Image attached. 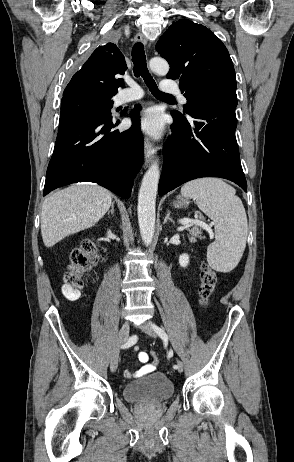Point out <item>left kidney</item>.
Masks as SVG:
<instances>
[{"label": "left kidney", "mask_w": 294, "mask_h": 462, "mask_svg": "<svg viewBox=\"0 0 294 462\" xmlns=\"http://www.w3.org/2000/svg\"><path fill=\"white\" fill-rule=\"evenodd\" d=\"M189 263V256L187 254H182L179 256V264L181 267H186Z\"/></svg>", "instance_id": "obj_1"}]
</instances>
